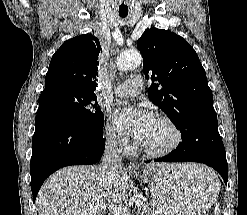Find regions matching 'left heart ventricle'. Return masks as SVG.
Returning <instances> with one entry per match:
<instances>
[{"label": "left heart ventricle", "mask_w": 247, "mask_h": 215, "mask_svg": "<svg viewBox=\"0 0 247 215\" xmlns=\"http://www.w3.org/2000/svg\"><path fill=\"white\" fill-rule=\"evenodd\" d=\"M172 138L170 129L156 119L144 138L140 141V144L149 149L157 150L169 145Z\"/></svg>", "instance_id": "obj_1"}]
</instances>
